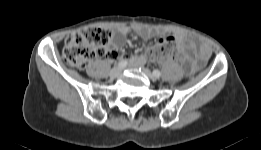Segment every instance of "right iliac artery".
<instances>
[{
    "mask_svg": "<svg viewBox=\"0 0 261 150\" xmlns=\"http://www.w3.org/2000/svg\"><path fill=\"white\" fill-rule=\"evenodd\" d=\"M126 65H127V61H126V60L120 61V62L118 63V67H119V68H124Z\"/></svg>",
    "mask_w": 261,
    "mask_h": 150,
    "instance_id": "right-iliac-artery-1",
    "label": "right iliac artery"
}]
</instances>
